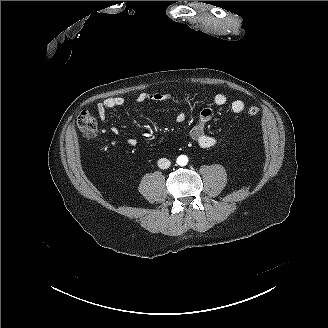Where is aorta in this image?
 Segmentation results:
<instances>
[{"label": "aorta", "mask_w": 328, "mask_h": 328, "mask_svg": "<svg viewBox=\"0 0 328 328\" xmlns=\"http://www.w3.org/2000/svg\"><path fill=\"white\" fill-rule=\"evenodd\" d=\"M188 163V157L185 155H180L177 158V164L180 166H185Z\"/></svg>", "instance_id": "aorta-1"}]
</instances>
